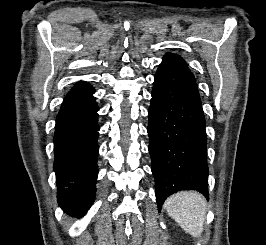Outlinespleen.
I'll use <instances>...</instances> for the list:
<instances>
[{"label":"spleen","instance_id":"3e777b00","mask_svg":"<svg viewBox=\"0 0 266 245\" xmlns=\"http://www.w3.org/2000/svg\"><path fill=\"white\" fill-rule=\"evenodd\" d=\"M164 207L171 219L192 237H201L206 219L205 199L195 191H184L169 197Z\"/></svg>","mask_w":266,"mask_h":245}]
</instances>
